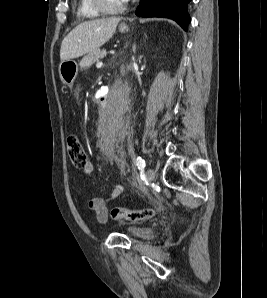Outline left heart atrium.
Instances as JSON below:
<instances>
[{"label": "left heart atrium", "instance_id": "obj_1", "mask_svg": "<svg viewBox=\"0 0 267 298\" xmlns=\"http://www.w3.org/2000/svg\"><path fill=\"white\" fill-rule=\"evenodd\" d=\"M124 3L127 2L128 0H122Z\"/></svg>", "mask_w": 267, "mask_h": 298}]
</instances>
